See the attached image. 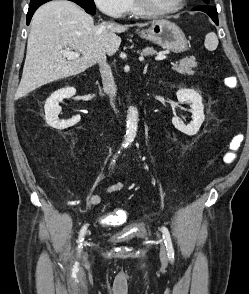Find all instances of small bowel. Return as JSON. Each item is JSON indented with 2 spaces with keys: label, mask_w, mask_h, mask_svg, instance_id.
<instances>
[{
  "label": "small bowel",
  "mask_w": 249,
  "mask_h": 294,
  "mask_svg": "<svg viewBox=\"0 0 249 294\" xmlns=\"http://www.w3.org/2000/svg\"><path fill=\"white\" fill-rule=\"evenodd\" d=\"M125 188H126L125 183H122V182L113 183L107 186L102 193L92 194L88 199V203L90 206H93V207L99 206L103 202L106 196L122 191ZM69 204L76 205L78 204V201H70ZM125 220H126V216L123 211H115L113 213L100 217L99 222L103 225L117 226L124 223Z\"/></svg>",
  "instance_id": "small-bowel-1"
}]
</instances>
